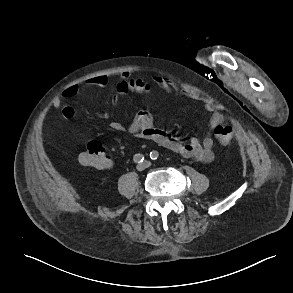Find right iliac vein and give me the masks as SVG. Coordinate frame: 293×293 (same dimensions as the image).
<instances>
[{
    "label": "right iliac vein",
    "mask_w": 293,
    "mask_h": 293,
    "mask_svg": "<svg viewBox=\"0 0 293 293\" xmlns=\"http://www.w3.org/2000/svg\"><path fill=\"white\" fill-rule=\"evenodd\" d=\"M145 165L144 164H139L138 166H137V169L139 170V171H142V170H144L145 169Z\"/></svg>",
    "instance_id": "1"
}]
</instances>
